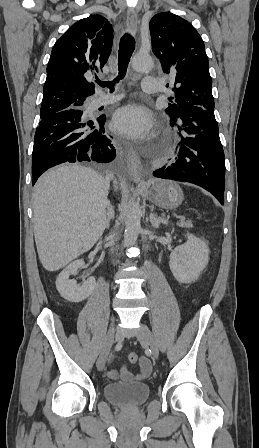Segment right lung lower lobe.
I'll list each match as a JSON object with an SVG mask.
<instances>
[{
  "instance_id": "obj_1",
  "label": "right lung lower lobe",
  "mask_w": 259,
  "mask_h": 448,
  "mask_svg": "<svg viewBox=\"0 0 259 448\" xmlns=\"http://www.w3.org/2000/svg\"><path fill=\"white\" fill-rule=\"evenodd\" d=\"M105 115L89 116L68 111L41 119L32 153V184L48 168L64 162H111L116 152L105 134Z\"/></svg>"
}]
</instances>
